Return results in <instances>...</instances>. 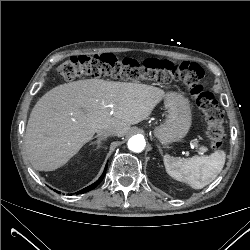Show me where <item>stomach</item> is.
<instances>
[{
    "instance_id": "1",
    "label": "stomach",
    "mask_w": 250,
    "mask_h": 250,
    "mask_svg": "<svg viewBox=\"0 0 250 250\" xmlns=\"http://www.w3.org/2000/svg\"><path fill=\"white\" fill-rule=\"evenodd\" d=\"M165 107L167 118L154 128L153 133L161 142L170 144L187 135L192 123L191 108L188 99L175 92L165 95Z\"/></svg>"
}]
</instances>
